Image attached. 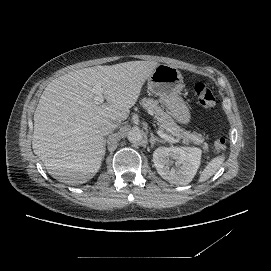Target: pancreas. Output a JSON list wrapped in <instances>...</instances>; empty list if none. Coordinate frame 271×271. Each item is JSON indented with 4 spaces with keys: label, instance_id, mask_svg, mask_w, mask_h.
<instances>
[{
    "label": "pancreas",
    "instance_id": "1",
    "mask_svg": "<svg viewBox=\"0 0 271 271\" xmlns=\"http://www.w3.org/2000/svg\"><path fill=\"white\" fill-rule=\"evenodd\" d=\"M143 107L156 119L160 131L165 132L169 136L176 137L180 141L186 142L187 139H189L193 143L201 146L204 153L210 151V148L201 133L183 132L180 127L174 124L173 118L157 105L156 101L148 99L146 100V103L143 104Z\"/></svg>",
    "mask_w": 271,
    "mask_h": 271
}]
</instances>
